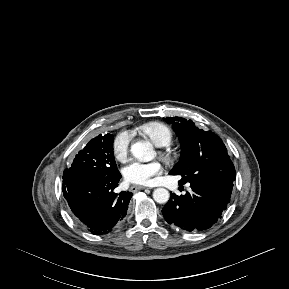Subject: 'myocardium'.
<instances>
[{
    "mask_svg": "<svg viewBox=\"0 0 289 289\" xmlns=\"http://www.w3.org/2000/svg\"><path fill=\"white\" fill-rule=\"evenodd\" d=\"M161 156L166 160V161H170L171 160V155L166 152V151H162L161 152Z\"/></svg>",
    "mask_w": 289,
    "mask_h": 289,
    "instance_id": "1",
    "label": "myocardium"
}]
</instances>
